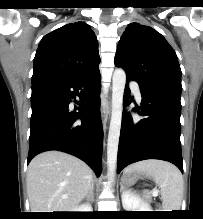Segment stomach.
I'll return each instance as SVG.
<instances>
[{
	"label": "stomach",
	"mask_w": 203,
	"mask_h": 219,
	"mask_svg": "<svg viewBox=\"0 0 203 219\" xmlns=\"http://www.w3.org/2000/svg\"><path fill=\"white\" fill-rule=\"evenodd\" d=\"M144 172H139V171H134L128 174H124L122 181L125 182L126 184H132L136 182L139 178L144 176Z\"/></svg>",
	"instance_id": "stomach-1"
}]
</instances>
